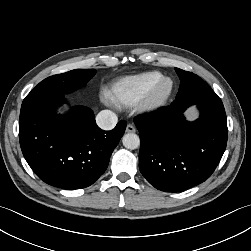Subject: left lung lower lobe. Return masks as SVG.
Listing matches in <instances>:
<instances>
[{
    "label": "left lung lower lobe",
    "mask_w": 251,
    "mask_h": 251,
    "mask_svg": "<svg viewBox=\"0 0 251 251\" xmlns=\"http://www.w3.org/2000/svg\"><path fill=\"white\" fill-rule=\"evenodd\" d=\"M197 105L194 122L184 111ZM139 168L146 180L165 192L194 187L214 172L227 144V118L221 99L205 83L178 92L170 106L138 116Z\"/></svg>",
    "instance_id": "obj_1"
}]
</instances>
